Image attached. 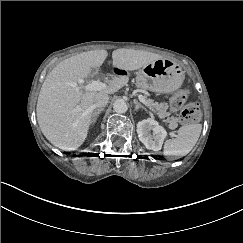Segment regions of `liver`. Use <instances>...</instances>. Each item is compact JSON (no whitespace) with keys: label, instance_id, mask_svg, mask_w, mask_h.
<instances>
[{"label":"liver","instance_id":"obj_1","mask_svg":"<svg viewBox=\"0 0 243 243\" xmlns=\"http://www.w3.org/2000/svg\"><path fill=\"white\" fill-rule=\"evenodd\" d=\"M106 58V50L82 52L58 63L45 78L37 100V121L43 135L55 147L75 151L83 145L95 111L96 95H113L128 83L127 76L119 75L107 81L100 91L86 89L81 81L93 68L101 67ZM161 58L153 52L121 48L112 53V67L135 71Z\"/></svg>","mask_w":243,"mask_h":243}]
</instances>
